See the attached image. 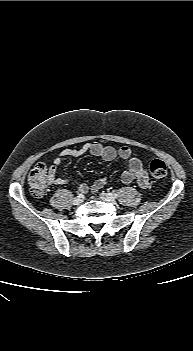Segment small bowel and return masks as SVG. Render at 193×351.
Listing matches in <instances>:
<instances>
[{
    "instance_id": "obj_1",
    "label": "small bowel",
    "mask_w": 193,
    "mask_h": 351,
    "mask_svg": "<svg viewBox=\"0 0 193 351\" xmlns=\"http://www.w3.org/2000/svg\"><path fill=\"white\" fill-rule=\"evenodd\" d=\"M85 154L99 157L104 161H113L117 157H120L126 164L127 169L122 173L120 180L122 183L129 184L134 181L142 188H146L149 185V179L146 171L144 170L143 164L140 159L132 156L130 148L123 146L119 149L113 146L103 145L98 142H88L79 148H65L61 150L53 160L51 166L52 183L54 185H66L71 181L70 179L57 176L56 169L61 164L62 160L66 157H79ZM107 184L105 177L97 179L90 187L87 184L81 183L76 185V189L81 193L97 192Z\"/></svg>"
}]
</instances>
